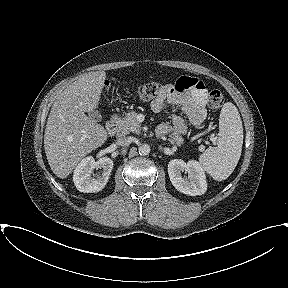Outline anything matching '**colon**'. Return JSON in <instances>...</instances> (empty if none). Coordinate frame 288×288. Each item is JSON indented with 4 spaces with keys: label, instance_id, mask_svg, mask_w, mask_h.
Wrapping results in <instances>:
<instances>
[{
    "label": "colon",
    "instance_id": "obj_1",
    "mask_svg": "<svg viewBox=\"0 0 288 288\" xmlns=\"http://www.w3.org/2000/svg\"><path fill=\"white\" fill-rule=\"evenodd\" d=\"M168 90V85L155 82L145 83L138 86L135 94L141 101H150ZM224 103V96L219 90H212L208 96V105L212 109L220 108Z\"/></svg>",
    "mask_w": 288,
    "mask_h": 288
}]
</instances>
